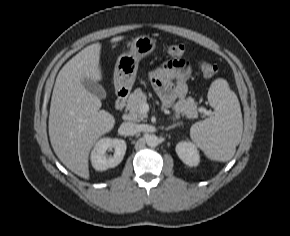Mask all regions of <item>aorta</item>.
Here are the masks:
<instances>
[{
  "label": "aorta",
  "mask_w": 290,
  "mask_h": 236,
  "mask_svg": "<svg viewBox=\"0 0 290 236\" xmlns=\"http://www.w3.org/2000/svg\"><path fill=\"white\" fill-rule=\"evenodd\" d=\"M146 143L149 147H156L159 144V138L152 134L146 137Z\"/></svg>",
  "instance_id": "762f6f07"
}]
</instances>
